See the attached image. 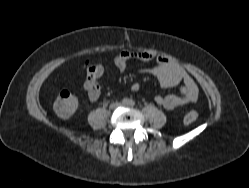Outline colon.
<instances>
[{
	"label": "colon",
	"mask_w": 249,
	"mask_h": 188,
	"mask_svg": "<svg viewBox=\"0 0 249 188\" xmlns=\"http://www.w3.org/2000/svg\"><path fill=\"white\" fill-rule=\"evenodd\" d=\"M78 101L69 91L63 90L53 100V108L58 116L62 118L70 117L76 110ZM198 112L195 110L187 112L183 117L185 124H191L198 119Z\"/></svg>",
	"instance_id": "colon-1"
}]
</instances>
